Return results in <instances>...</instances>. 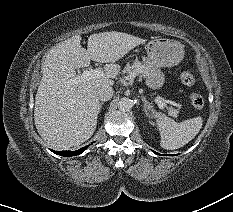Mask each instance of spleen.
Segmentation results:
<instances>
[{
  "instance_id": "3e777b00",
  "label": "spleen",
  "mask_w": 233,
  "mask_h": 212,
  "mask_svg": "<svg viewBox=\"0 0 233 212\" xmlns=\"http://www.w3.org/2000/svg\"><path fill=\"white\" fill-rule=\"evenodd\" d=\"M153 118L156 119L160 131V145L167 150H175L186 145L199 133L203 123L201 116L177 123L157 111L153 112Z\"/></svg>"
}]
</instances>
